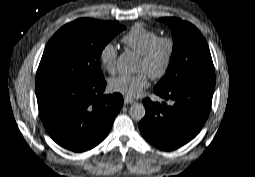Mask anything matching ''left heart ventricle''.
I'll return each instance as SVG.
<instances>
[{
	"instance_id": "b2bd125f",
	"label": "left heart ventricle",
	"mask_w": 255,
	"mask_h": 177,
	"mask_svg": "<svg viewBox=\"0 0 255 177\" xmlns=\"http://www.w3.org/2000/svg\"><path fill=\"white\" fill-rule=\"evenodd\" d=\"M165 53H166L165 46L163 45L159 46L156 49L153 55V58L150 62L146 63L142 61L141 59H139L138 65H137V71L144 72L145 74L155 72L162 65Z\"/></svg>"
}]
</instances>
